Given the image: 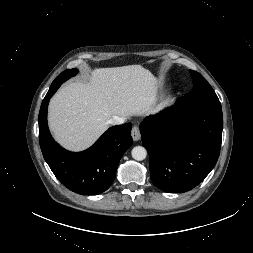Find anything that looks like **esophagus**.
<instances>
[{"label": "esophagus", "mask_w": 253, "mask_h": 253, "mask_svg": "<svg viewBox=\"0 0 253 253\" xmlns=\"http://www.w3.org/2000/svg\"><path fill=\"white\" fill-rule=\"evenodd\" d=\"M131 136L134 141H138L141 137L140 129L138 126H134L131 131Z\"/></svg>", "instance_id": "esophagus-1"}]
</instances>
